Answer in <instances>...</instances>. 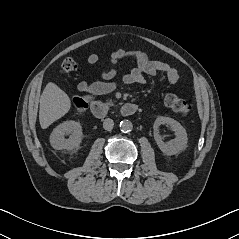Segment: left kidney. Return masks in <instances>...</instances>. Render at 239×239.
Listing matches in <instances>:
<instances>
[{"mask_svg":"<svg viewBox=\"0 0 239 239\" xmlns=\"http://www.w3.org/2000/svg\"><path fill=\"white\" fill-rule=\"evenodd\" d=\"M167 124L171 127V129L174 131L176 138L165 143L162 139V137L159 135V126ZM154 129V139L160 148V150L170 156L178 154L179 152L183 151L187 147L188 137L187 132L185 128L176 120L164 117V116H158L154 122L153 125Z\"/></svg>","mask_w":239,"mask_h":239,"instance_id":"1","label":"left kidney"}]
</instances>
